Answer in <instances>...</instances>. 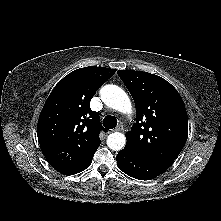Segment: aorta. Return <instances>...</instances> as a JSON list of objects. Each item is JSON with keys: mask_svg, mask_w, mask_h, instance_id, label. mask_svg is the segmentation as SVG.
I'll return each mask as SVG.
<instances>
[{"mask_svg": "<svg viewBox=\"0 0 221 221\" xmlns=\"http://www.w3.org/2000/svg\"><path fill=\"white\" fill-rule=\"evenodd\" d=\"M101 100L110 108L119 112L132 113V105L126 92L116 85H105L100 90ZM126 144L123 133L114 132L107 137V146L113 151H120Z\"/></svg>", "mask_w": 221, "mask_h": 221, "instance_id": "aorta-1", "label": "aorta"}]
</instances>
